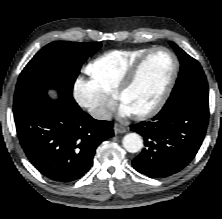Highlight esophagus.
<instances>
[{"label": "esophagus", "mask_w": 222, "mask_h": 219, "mask_svg": "<svg viewBox=\"0 0 222 219\" xmlns=\"http://www.w3.org/2000/svg\"><path fill=\"white\" fill-rule=\"evenodd\" d=\"M113 129H114L115 134L123 133L127 130L126 127H124L120 124H117V123L114 124Z\"/></svg>", "instance_id": "obj_1"}]
</instances>
